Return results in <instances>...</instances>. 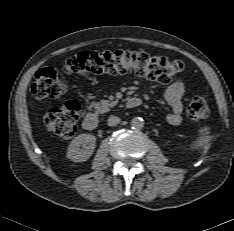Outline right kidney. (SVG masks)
<instances>
[{
  "instance_id": "ca27d5eb",
  "label": "right kidney",
  "mask_w": 234,
  "mask_h": 231,
  "mask_svg": "<svg viewBox=\"0 0 234 231\" xmlns=\"http://www.w3.org/2000/svg\"><path fill=\"white\" fill-rule=\"evenodd\" d=\"M96 147V137L84 133L75 137L68 146L67 157L74 162L86 161L91 157Z\"/></svg>"
}]
</instances>
